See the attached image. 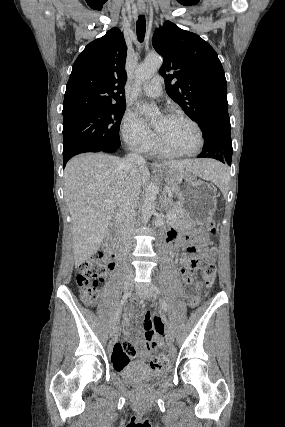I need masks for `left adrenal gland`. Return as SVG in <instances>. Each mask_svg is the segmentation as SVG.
<instances>
[{"mask_svg": "<svg viewBox=\"0 0 285 427\" xmlns=\"http://www.w3.org/2000/svg\"><path fill=\"white\" fill-rule=\"evenodd\" d=\"M163 203H162V206H165L166 205V202H167V198H166V196H164V198H163Z\"/></svg>", "mask_w": 285, "mask_h": 427, "instance_id": "left-adrenal-gland-1", "label": "left adrenal gland"}]
</instances>
